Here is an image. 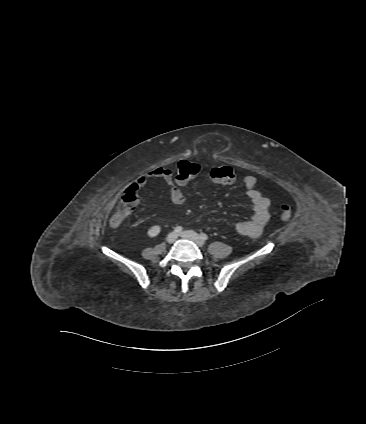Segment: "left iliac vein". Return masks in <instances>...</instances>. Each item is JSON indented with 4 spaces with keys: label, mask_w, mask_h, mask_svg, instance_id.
<instances>
[{
    "label": "left iliac vein",
    "mask_w": 366,
    "mask_h": 424,
    "mask_svg": "<svg viewBox=\"0 0 366 424\" xmlns=\"http://www.w3.org/2000/svg\"><path fill=\"white\" fill-rule=\"evenodd\" d=\"M180 236L184 239L193 241L199 247H202L204 245V241L199 237V235L196 232L192 230L183 231L180 233Z\"/></svg>",
    "instance_id": "1"
}]
</instances>
